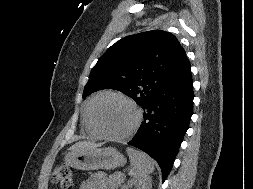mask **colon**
Returning <instances> with one entry per match:
<instances>
[{
	"mask_svg": "<svg viewBox=\"0 0 253 189\" xmlns=\"http://www.w3.org/2000/svg\"><path fill=\"white\" fill-rule=\"evenodd\" d=\"M51 179L53 183L59 184L62 189L74 188L72 172L65 164H58L55 166Z\"/></svg>",
	"mask_w": 253,
	"mask_h": 189,
	"instance_id": "obj_1",
	"label": "colon"
}]
</instances>
